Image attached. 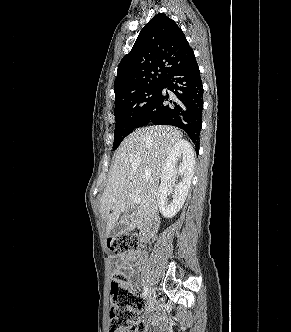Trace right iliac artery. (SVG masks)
I'll use <instances>...</instances> for the list:
<instances>
[{
	"label": "right iliac artery",
	"mask_w": 291,
	"mask_h": 332,
	"mask_svg": "<svg viewBox=\"0 0 291 332\" xmlns=\"http://www.w3.org/2000/svg\"><path fill=\"white\" fill-rule=\"evenodd\" d=\"M148 293H149L148 287L145 286L144 291H143V295H144L145 298L148 296Z\"/></svg>",
	"instance_id": "82829eb1"
}]
</instances>
